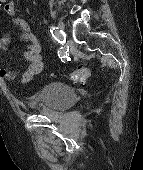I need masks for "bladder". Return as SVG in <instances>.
<instances>
[{
	"label": "bladder",
	"instance_id": "bladder-1",
	"mask_svg": "<svg viewBox=\"0 0 143 170\" xmlns=\"http://www.w3.org/2000/svg\"><path fill=\"white\" fill-rule=\"evenodd\" d=\"M77 101L75 90L62 83H48L35 99V108L42 113L64 112Z\"/></svg>",
	"mask_w": 143,
	"mask_h": 170
}]
</instances>
